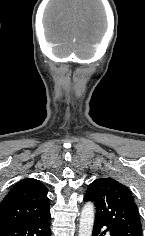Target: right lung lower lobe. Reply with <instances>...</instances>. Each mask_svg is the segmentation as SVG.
I'll list each match as a JSON object with an SVG mask.
<instances>
[{
	"label": "right lung lower lobe",
	"mask_w": 145,
	"mask_h": 236,
	"mask_svg": "<svg viewBox=\"0 0 145 236\" xmlns=\"http://www.w3.org/2000/svg\"><path fill=\"white\" fill-rule=\"evenodd\" d=\"M50 211L33 219L0 227V236H51Z\"/></svg>",
	"instance_id": "right-lung-lower-lobe-1"
}]
</instances>
